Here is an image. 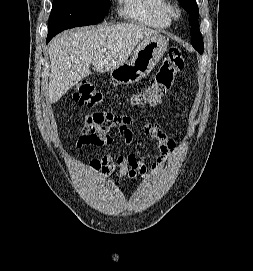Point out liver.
Masks as SVG:
<instances>
[{
    "label": "liver",
    "mask_w": 253,
    "mask_h": 271,
    "mask_svg": "<svg viewBox=\"0 0 253 271\" xmlns=\"http://www.w3.org/2000/svg\"><path fill=\"white\" fill-rule=\"evenodd\" d=\"M159 33L139 24L121 23L77 28L57 35L49 44L48 101L57 102L87 77L92 64L97 72L111 71L131 55L138 43Z\"/></svg>",
    "instance_id": "obj_1"
}]
</instances>
